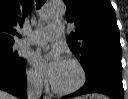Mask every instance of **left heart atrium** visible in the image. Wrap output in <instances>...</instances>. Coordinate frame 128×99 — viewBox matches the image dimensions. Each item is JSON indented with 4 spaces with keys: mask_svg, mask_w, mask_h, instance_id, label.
I'll return each mask as SVG.
<instances>
[{
    "mask_svg": "<svg viewBox=\"0 0 128 99\" xmlns=\"http://www.w3.org/2000/svg\"><path fill=\"white\" fill-rule=\"evenodd\" d=\"M33 62L42 71V73L51 82H53L56 79L65 61L63 60L62 56L58 52H56L49 61L45 56L34 54Z\"/></svg>",
    "mask_w": 128,
    "mask_h": 99,
    "instance_id": "1",
    "label": "left heart atrium"
}]
</instances>
